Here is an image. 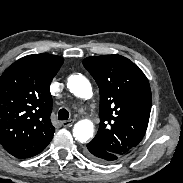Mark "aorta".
Wrapping results in <instances>:
<instances>
[{
	"mask_svg": "<svg viewBox=\"0 0 183 183\" xmlns=\"http://www.w3.org/2000/svg\"><path fill=\"white\" fill-rule=\"evenodd\" d=\"M67 87L75 96L83 99L92 97V87L89 80L83 75H71L67 81ZM94 133L93 123L89 120H81L74 125L73 136L81 143L87 142Z\"/></svg>",
	"mask_w": 183,
	"mask_h": 183,
	"instance_id": "aorta-1",
	"label": "aorta"
}]
</instances>
